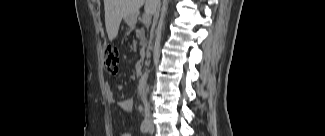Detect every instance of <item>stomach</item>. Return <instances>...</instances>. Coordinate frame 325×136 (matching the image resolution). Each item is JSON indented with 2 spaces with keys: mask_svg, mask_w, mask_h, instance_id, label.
Masks as SVG:
<instances>
[{
  "mask_svg": "<svg viewBox=\"0 0 325 136\" xmlns=\"http://www.w3.org/2000/svg\"><path fill=\"white\" fill-rule=\"evenodd\" d=\"M124 19L128 23V25L133 26L136 23L137 17L134 15H129L126 16Z\"/></svg>",
  "mask_w": 325,
  "mask_h": 136,
  "instance_id": "0dacf381",
  "label": "stomach"
}]
</instances>
